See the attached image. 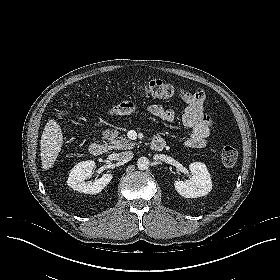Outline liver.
I'll return each mask as SVG.
<instances>
[{"instance_id":"obj_1","label":"liver","mask_w":280,"mask_h":280,"mask_svg":"<svg viewBox=\"0 0 280 280\" xmlns=\"http://www.w3.org/2000/svg\"><path fill=\"white\" fill-rule=\"evenodd\" d=\"M62 145L61 127L54 119H50L44 127L40 142L41 163L44 170H48L54 165Z\"/></svg>"}]
</instances>
